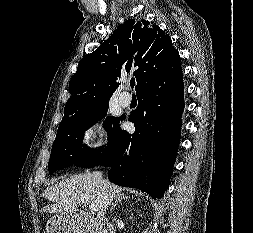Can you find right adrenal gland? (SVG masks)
<instances>
[{"instance_id":"1","label":"right adrenal gland","mask_w":253,"mask_h":233,"mask_svg":"<svg viewBox=\"0 0 253 233\" xmlns=\"http://www.w3.org/2000/svg\"><path fill=\"white\" fill-rule=\"evenodd\" d=\"M128 198H130L129 196H120L119 198H117L116 200H115V202L112 204V207H111V209H110V212L112 213L113 211H114V209H115V207L118 205V203H120L122 200H125V199H128Z\"/></svg>"}]
</instances>
